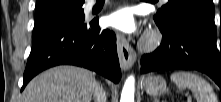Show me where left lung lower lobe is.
<instances>
[{"label":"left lung lower lobe","instance_id":"left-lung-lower-lobe-1","mask_svg":"<svg viewBox=\"0 0 221 102\" xmlns=\"http://www.w3.org/2000/svg\"><path fill=\"white\" fill-rule=\"evenodd\" d=\"M159 29L162 43L153 53L142 57V73L194 69L209 75L221 89V49L219 52L215 43L216 32L186 19Z\"/></svg>","mask_w":221,"mask_h":102}]
</instances>
